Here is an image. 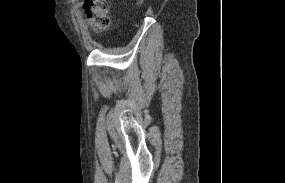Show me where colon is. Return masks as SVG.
I'll return each mask as SVG.
<instances>
[{"label": "colon", "mask_w": 285, "mask_h": 183, "mask_svg": "<svg viewBox=\"0 0 285 183\" xmlns=\"http://www.w3.org/2000/svg\"><path fill=\"white\" fill-rule=\"evenodd\" d=\"M109 5L110 0H85L83 9L94 30L103 31L109 27Z\"/></svg>", "instance_id": "5ec220e1"}]
</instances>
